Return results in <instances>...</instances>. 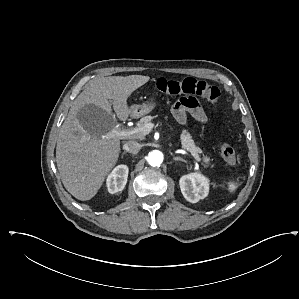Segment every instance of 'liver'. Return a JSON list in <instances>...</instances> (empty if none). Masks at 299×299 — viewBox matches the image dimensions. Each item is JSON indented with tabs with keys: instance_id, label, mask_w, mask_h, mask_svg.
Returning a JSON list of instances; mask_svg holds the SVG:
<instances>
[{
	"instance_id": "1",
	"label": "liver",
	"mask_w": 299,
	"mask_h": 299,
	"mask_svg": "<svg viewBox=\"0 0 299 299\" xmlns=\"http://www.w3.org/2000/svg\"><path fill=\"white\" fill-rule=\"evenodd\" d=\"M149 76H109L92 80L73 102L60 128L56 163L62 183L76 199H92L115 166L119 138H103L130 115L127 99Z\"/></svg>"
}]
</instances>
